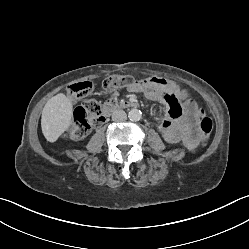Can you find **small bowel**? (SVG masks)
<instances>
[{
    "mask_svg": "<svg viewBox=\"0 0 249 249\" xmlns=\"http://www.w3.org/2000/svg\"><path fill=\"white\" fill-rule=\"evenodd\" d=\"M130 92L144 93L149 99H156L167 105V117L160 124V132L171 144L182 142L188 150L195 149L200 140V109L187 93L174 81L162 77H148L139 80ZM119 96L117 90L111 92L107 102Z\"/></svg>",
    "mask_w": 249,
    "mask_h": 249,
    "instance_id": "c3829d8e",
    "label": "small bowel"
}]
</instances>
